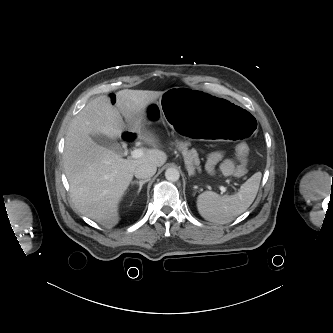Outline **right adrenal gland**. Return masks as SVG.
<instances>
[{
  "label": "right adrenal gland",
  "instance_id": "1",
  "mask_svg": "<svg viewBox=\"0 0 333 333\" xmlns=\"http://www.w3.org/2000/svg\"><path fill=\"white\" fill-rule=\"evenodd\" d=\"M150 179H146V180H140V181H132L131 182V185H134V184H137L139 185V189H138V194L140 193L141 189H142V186L148 182Z\"/></svg>",
  "mask_w": 333,
  "mask_h": 333
}]
</instances>
